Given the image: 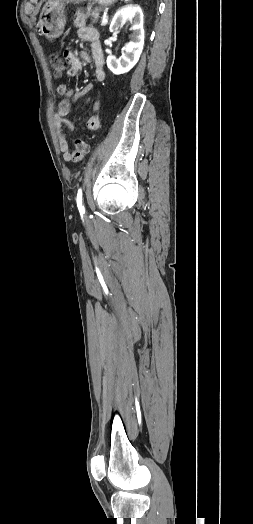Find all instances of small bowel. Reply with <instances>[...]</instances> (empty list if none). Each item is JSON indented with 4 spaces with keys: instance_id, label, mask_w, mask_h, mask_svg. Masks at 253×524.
Wrapping results in <instances>:
<instances>
[{
    "instance_id": "c3829d8e",
    "label": "small bowel",
    "mask_w": 253,
    "mask_h": 524,
    "mask_svg": "<svg viewBox=\"0 0 253 524\" xmlns=\"http://www.w3.org/2000/svg\"><path fill=\"white\" fill-rule=\"evenodd\" d=\"M75 25L78 27V36L80 39L87 41L90 44V53L86 51L80 52V58L86 62L92 63L94 70V77L98 81H103L106 78V69L103 57V51L100 43V33L97 29L85 25L84 19L80 18L75 21ZM64 63L66 64L64 71L70 76L77 75L82 70L81 60L73 54L71 49H66L62 55ZM65 83V80H62ZM57 90L60 94L67 98H73L79 100L85 98L86 102L90 101L88 93L91 90V86L84 87L81 91L75 92L72 89H68L65 84H59ZM101 107L99 99L92 101V109L97 112ZM70 112V103L67 99H61L57 104V111L55 115V125L57 129V137L60 150L64 153V157L67 160V153L69 150L68 140L66 138L64 129L74 130V123L67 119L66 116ZM101 126L99 117L95 114L91 115L86 123V128L90 130H98Z\"/></svg>"
}]
</instances>
